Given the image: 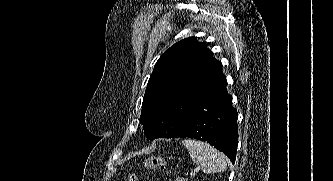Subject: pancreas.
<instances>
[{
	"instance_id": "1",
	"label": "pancreas",
	"mask_w": 333,
	"mask_h": 181,
	"mask_svg": "<svg viewBox=\"0 0 333 181\" xmlns=\"http://www.w3.org/2000/svg\"><path fill=\"white\" fill-rule=\"evenodd\" d=\"M176 181H187V180L179 177L176 179Z\"/></svg>"
}]
</instances>
